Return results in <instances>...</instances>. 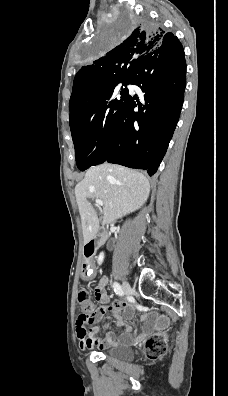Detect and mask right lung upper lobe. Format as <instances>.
Listing matches in <instances>:
<instances>
[{
  "label": "right lung upper lobe",
  "instance_id": "obj_1",
  "mask_svg": "<svg viewBox=\"0 0 228 396\" xmlns=\"http://www.w3.org/2000/svg\"><path fill=\"white\" fill-rule=\"evenodd\" d=\"M181 43L161 28L139 27L130 37L76 74L70 97V120L81 114L104 91L121 80H130L140 61L158 47L168 50Z\"/></svg>",
  "mask_w": 228,
  "mask_h": 396
}]
</instances>
